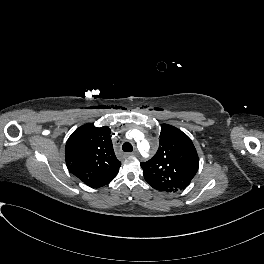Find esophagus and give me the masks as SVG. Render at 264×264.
Segmentation results:
<instances>
[{"mask_svg": "<svg viewBox=\"0 0 264 264\" xmlns=\"http://www.w3.org/2000/svg\"><path fill=\"white\" fill-rule=\"evenodd\" d=\"M137 153L136 152H133V153H126V156H131V155H136Z\"/></svg>", "mask_w": 264, "mask_h": 264, "instance_id": "obj_1", "label": "esophagus"}]
</instances>
